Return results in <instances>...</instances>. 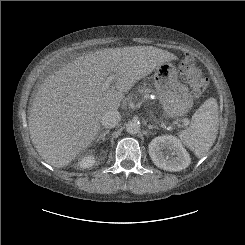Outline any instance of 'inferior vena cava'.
I'll list each match as a JSON object with an SVG mask.
<instances>
[{"instance_id": "602c4592", "label": "inferior vena cava", "mask_w": 245, "mask_h": 245, "mask_svg": "<svg viewBox=\"0 0 245 245\" xmlns=\"http://www.w3.org/2000/svg\"><path fill=\"white\" fill-rule=\"evenodd\" d=\"M121 120V115L117 110H108L101 116L100 122L105 128H113Z\"/></svg>"}]
</instances>
